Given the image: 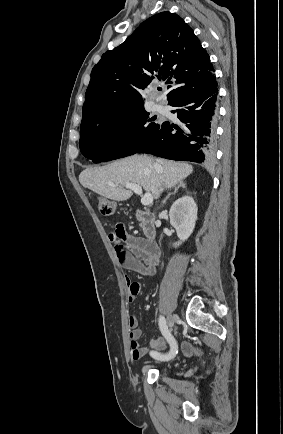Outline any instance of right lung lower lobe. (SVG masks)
Instances as JSON below:
<instances>
[{
    "mask_svg": "<svg viewBox=\"0 0 283 434\" xmlns=\"http://www.w3.org/2000/svg\"><path fill=\"white\" fill-rule=\"evenodd\" d=\"M216 80L193 94L174 100L169 105L181 121L180 127L164 122L136 153L197 163L213 159L217 117Z\"/></svg>",
    "mask_w": 283,
    "mask_h": 434,
    "instance_id": "1",
    "label": "right lung lower lobe"
}]
</instances>
